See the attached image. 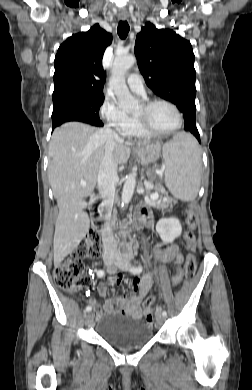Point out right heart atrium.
I'll return each mask as SVG.
<instances>
[{"label":"right heart atrium","instance_id":"right-heart-atrium-1","mask_svg":"<svg viewBox=\"0 0 252 390\" xmlns=\"http://www.w3.org/2000/svg\"><path fill=\"white\" fill-rule=\"evenodd\" d=\"M100 114L107 125L123 137H129L133 128V119L112 100H105Z\"/></svg>","mask_w":252,"mask_h":390}]
</instances>
